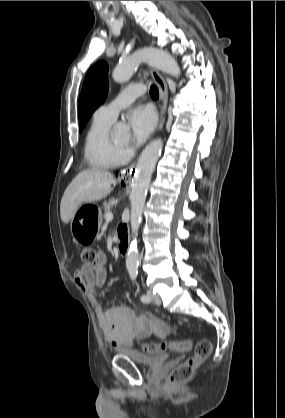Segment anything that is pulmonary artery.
Wrapping results in <instances>:
<instances>
[{"mask_svg":"<svg viewBox=\"0 0 285 418\" xmlns=\"http://www.w3.org/2000/svg\"><path fill=\"white\" fill-rule=\"evenodd\" d=\"M144 92V86L141 83H136L125 89L112 103L99 107L95 111L94 115L97 118L104 119L112 123L122 108L130 105L137 97L144 94Z\"/></svg>","mask_w":285,"mask_h":418,"instance_id":"e3ab8cb5","label":"pulmonary artery"}]
</instances>
